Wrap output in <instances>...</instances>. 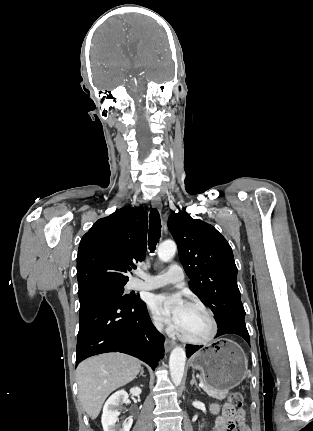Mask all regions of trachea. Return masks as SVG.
I'll return each instance as SVG.
<instances>
[{
  "instance_id": "3493384b",
  "label": "trachea",
  "mask_w": 313,
  "mask_h": 431,
  "mask_svg": "<svg viewBox=\"0 0 313 431\" xmlns=\"http://www.w3.org/2000/svg\"><path fill=\"white\" fill-rule=\"evenodd\" d=\"M161 235V220L157 209H152L149 216V249L153 253Z\"/></svg>"
}]
</instances>
